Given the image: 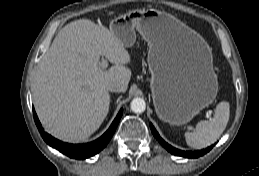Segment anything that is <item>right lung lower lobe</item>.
<instances>
[{
  "label": "right lung lower lobe",
  "instance_id": "98d812e1",
  "mask_svg": "<svg viewBox=\"0 0 259 176\" xmlns=\"http://www.w3.org/2000/svg\"><path fill=\"white\" fill-rule=\"evenodd\" d=\"M122 113H123V110L121 109L118 115L116 116V118L114 119L113 123L109 127V129L100 138H98L93 142L80 145V144H68V143L61 142L53 138L51 135L43 132V128L33 109V116H34L36 126L39 132L41 133L43 132L41 136L45 140V142L50 146H52L53 148L59 150L63 154L75 159H85L100 152L107 145V143L113 136L118 126V123L120 121V118L122 116Z\"/></svg>",
  "mask_w": 259,
  "mask_h": 176
}]
</instances>
